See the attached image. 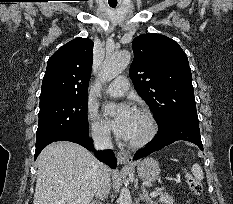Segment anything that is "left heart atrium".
<instances>
[{"mask_svg": "<svg viewBox=\"0 0 233 204\" xmlns=\"http://www.w3.org/2000/svg\"><path fill=\"white\" fill-rule=\"evenodd\" d=\"M133 113V109L126 104H108L104 108L107 124L118 137L123 139H128Z\"/></svg>", "mask_w": 233, "mask_h": 204, "instance_id": "obj_1", "label": "left heart atrium"}]
</instances>
